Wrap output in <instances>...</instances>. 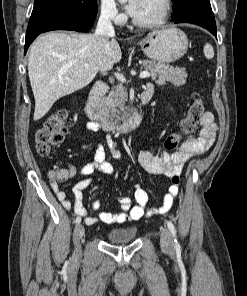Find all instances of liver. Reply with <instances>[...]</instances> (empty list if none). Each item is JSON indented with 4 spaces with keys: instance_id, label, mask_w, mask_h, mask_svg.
I'll return each instance as SVG.
<instances>
[{
    "instance_id": "obj_1",
    "label": "liver",
    "mask_w": 247,
    "mask_h": 296,
    "mask_svg": "<svg viewBox=\"0 0 247 296\" xmlns=\"http://www.w3.org/2000/svg\"><path fill=\"white\" fill-rule=\"evenodd\" d=\"M121 57L116 39L96 33L49 32L39 37L28 60L35 98L33 119H41L58 99L86 87L99 70L111 69Z\"/></svg>"
}]
</instances>
